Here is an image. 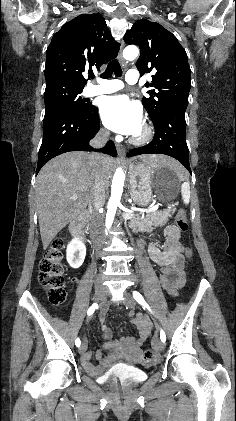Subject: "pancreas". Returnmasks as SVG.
Instances as JSON below:
<instances>
[{
  "label": "pancreas",
  "mask_w": 236,
  "mask_h": 421,
  "mask_svg": "<svg viewBox=\"0 0 236 421\" xmlns=\"http://www.w3.org/2000/svg\"><path fill=\"white\" fill-rule=\"evenodd\" d=\"M176 211V208H163V211H155V213H146L144 219L136 215L135 219H131L129 221L130 229H134V231H147L150 229L153 221L157 223V225H166L169 217H172Z\"/></svg>",
  "instance_id": "pancreas-1"
}]
</instances>
